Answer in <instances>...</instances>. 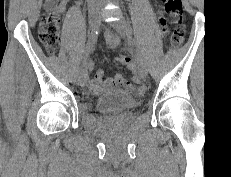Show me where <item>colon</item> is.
I'll list each match as a JSON object with an SVG mask.
<instances>
[{
	"instance_id": "5ec220e1",
	"label": "colon",
	"mask_w": 231,
	"mask_h": 177,
	"mask_svg": "<svg viewBox=\"0 0 231 177\" xmlns=\"http://www.w3.org/2000/svg\"><path fill=\"white\" fill-rule=\"evenodd\" d=\"M49 4H54L56 0H46ZM167 14L173 19V26L170 33V43L173 47L182 44L185 36L182 22V2L181 0H163ZM161 25H166V19L160 17ZM59 17L54 11L46 13L39 25V38L44 48L49 54H54L59 45ZM122 64H129L131 61L126 56L116 58Z\"/></svg>"
}]
</instances>
